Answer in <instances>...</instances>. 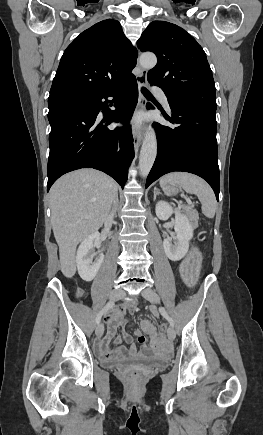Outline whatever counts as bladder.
I'll list each match as a JSON object with an SVG mask.
<instances>
[{"mask_svg":"<svg viewBox=\"0 0 263 435\" xmlns=\"http://www.w3.org/2000/svg\"><path fill=\"white\" fill-rule=\"evenodd\" d=\"M129 361L127 360H107L105 361V364L108 367H118L124 363H127ZM137 363H140L142 365H147V366H162L164 365L167 360L164 358H157V357H152V358H141L138 359L136 361Z\"/></svg>","mask_w":263,"mask_h":435,"instance_id":"1","label":"bladder"}]
</instances>
